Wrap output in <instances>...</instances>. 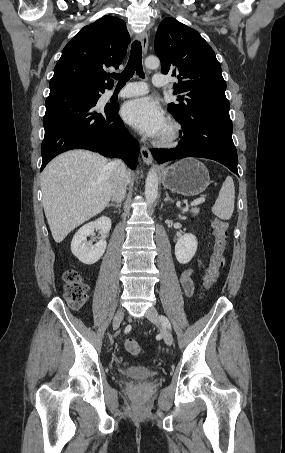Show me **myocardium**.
Segmentation results:
<instances>
[{
    "label": "myocardium",
    "mask_w": 285,
    "mask_h": 453,
    "mask_svg": "<svg viewBox=\"0 0 285 453\" xmlns=\"http://www.w3.org/2000/svg\"><path fill=\"white\" fill-rule=\"evenodd\" d=\"M181 125L175 120L166 122V131L160 135L155 144L160 147H170L178 143L181 136Z\"/></svg>",
    "instance_id": "f54148a6"
}]
</instances>
